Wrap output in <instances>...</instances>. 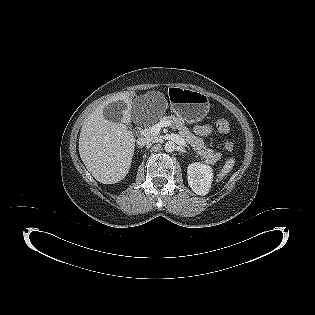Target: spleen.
Returning <instances> with one entry per match:
<instances>
[{
    "label": "spleen",
    "instance_id": "obj_1",
    "mask_svg": "<svg viewBox=\"0 0 315 315\" xmlns=\"http://www.w3.org/2000/svg\"><path fill=\"white\" fill-rule=\"evenodd\" d=\"M234 164H235V159L234 158L227 159V161L225 162L223 168L219 172L218 179L216 181L217 182L221 181L223 179V177H225L232 170Z\"/></svg>",
    "mask_w": 315,
    "mask_h": 315
}]
</instances>
